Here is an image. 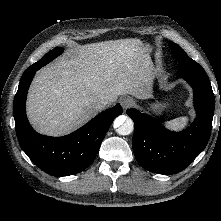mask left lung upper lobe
<instances>
[{
  "label": "left lung upper lobe",
  "mask_w": 221,
  "mask_h": 221,
  "mask_svg": "<svg viewBox=\"0 0 221 221\" xmlns=\"http://www.w3.org/2000/svg\"><path fill=\"white\" fill-rule=\"evenodd\" d=\"M170 47L175 55V57L179 60H185L186 58H189L188 55L184 52L182 48H180L176 43L171 42Z\"/></svg>",
  "instance_id": "1"
}]
</instances>
